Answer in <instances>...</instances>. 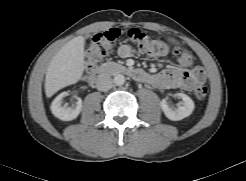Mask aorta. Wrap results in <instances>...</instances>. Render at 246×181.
<instances>
[{"label": "aorta", "instance_id": "1", "mask_svg": "<svg viewBox=\"0 0 246 181\" xmlns=\"http://www.w3.org/2000/svg\"><path fill=\"white\" fill-rule=\"evenodd\" d=\"M113 82L116 86H122L125 83V77L122 74H117L114 76Z\"/></svg>", "mask_w": 246, "mask_h": 181}]
</instances>
